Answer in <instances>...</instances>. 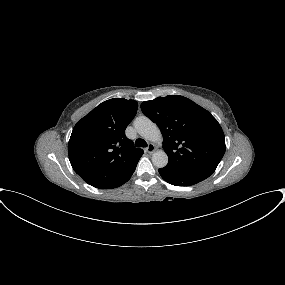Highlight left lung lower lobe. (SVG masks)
<instances>
[{"mask_svg":"<svg viewBox=\"0 0 285 285\" xmlns=\"http://www.w3.org/2000/svg\"><path fill=\"white\" fill-rule=\"evenodd\" d=\"M159 173L166 182L175 186H191L210 176L202 172L175 170L166 167L159 169Z\"/></svg>","mask_w":285,"mask_h":285,"instance_id":"1","label":"left lung lower lobe"}]
</instances>
